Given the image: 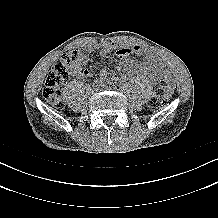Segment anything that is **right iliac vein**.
<instances>
[{"instance_id": "right-iliac-vein-1", "label": "right iliac vein", "mask_w": 218, "mask_h": 218, "mask_svg": "<svg viewBox=\"0 0 218 218\" xmlns=\"http://www.w3.org/2000/svg\"><path fill=\"white\" fill-rule=\"evenodd\" d=\"M101 84L100 83H97V84H94V90H98L100 88Z\"/></svg>"}]
</instances>
